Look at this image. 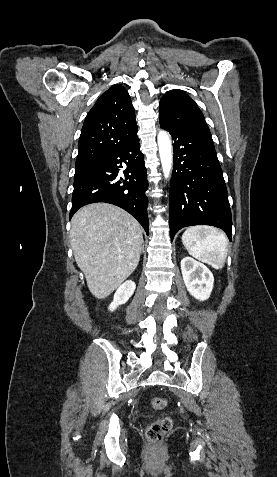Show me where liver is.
I'll return each mask as SVG.
<instances>
[{
	"label": "liver",
	"mask_w": 277,
	"mask_h": 477,
	"mask_svg": "<svg viewBox=\"0 0 277 477\" xmlns=\"http://www.w3.org/2000/svg\"><path fill=\"white\" fill-rule=\"evenodd\" d=\"M71 245L78 267L94 297H108L136 269L142 228L123 209L93 203L76 212L71 221Z\"/></svg>",
	"instance_id": "6515ba94"
}]
</instances>
